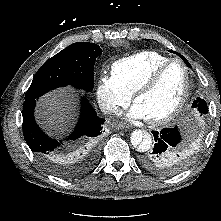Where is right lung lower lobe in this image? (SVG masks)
I'll return each mask as SVG.
<instances>
[{"label":"right lung lower lobe","instance_id":"98d812e1","mask_svg":"<svg viewBox=\"0 0 221 221\" xmlns=\"http://www.w3.org/2000/svg\"><path fill=\"white\" fill-rule=\"evenodd\" d=\"M36 99H25L23 105V135L30 147L38 156L39 161L51 172L62 177H74L79 174L75 168L64 167L72 159L71 155L63 154L57 147L62 144L48 137L38 127L34 119V107ZM104 119L97 116L87 99L81 101V115L75 131L67 140H76L80 137H96L101 134Z\"/></svg>","mask_w":221,"mask_h":221}]
</instances>
